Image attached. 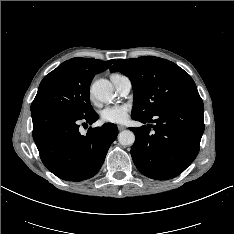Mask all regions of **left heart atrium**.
<instances>
[{"label": "left heart atrium", "instance_id": "1", "mask_svg": "<svg viewBox=\"0 0 234 234\" xmlns=\"http://www.w3.org/2000/svg\"><path fill=\"white\" fill-rule=\"evenodd\" d=\"M130 107L127 104H118L105 107L101 113L104 123L123 124L129 118Z\"/></svg>", "mask_w": 234, "mask_h": 234}]
</instances>
